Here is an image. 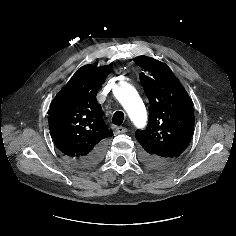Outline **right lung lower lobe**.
<instances>
[{
  "instance_id": "right-lung-lower-lobe-1",
  "label": "right lung lower lobe",
  "mask_w": 236,
  "mask_h": 236,
  "mask_svg": "<svg viewBox=\"0 0 236 236\" xmlns=\"http://www.w3.org/2000/svg\"><path fill=\"white\" fill-rule=\"evenodd\" d=\"M106 143L105 141L99 143L95 148L85 156L79 158L67 157L68 160L76 167L89 168L97 165L105 154Z\"/></svg>"
}]
</instances>
